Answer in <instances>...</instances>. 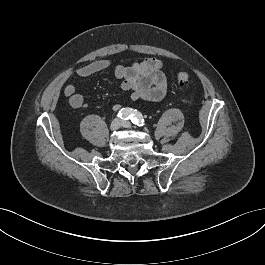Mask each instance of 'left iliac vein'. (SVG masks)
I'll list each match as a JSON object with an SVG mask.
<instances>
[{"mask_svg":"<svg viewBox=\"0 0 265 265\" xmlns=\"http://www.w3.org/2000/svg\"><path fill=\"white\" fill-rule=\"evenodd\" d=\"M121 126L124 127V128H128V129L132 128L131 123L128 122V121H122L121 122Z\"/></svg>","mask_w":265,"mask_h":265,"instance_id":"4c4485c4","label":"left iliac vein"}]
</instances>
